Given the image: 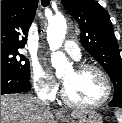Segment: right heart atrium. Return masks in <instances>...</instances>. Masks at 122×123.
<instances>
[{
    "instance_id": "obj_1",
    "label": "right heart atrium",
    "mask_w": 122,
    "mask_h": 123,
    "mask_svg": "<svg viewBox=\"0 0 122 123\" xmlns=\"http://www.w3.org/2000/svg\"><path fill=\"white\" fill-rule=\"evenodd\" d=\"M32 81L35 91L40 97L50 99L58 91V84L38 64H34L32 67Z\"/></svg>"
}]
</instances>
